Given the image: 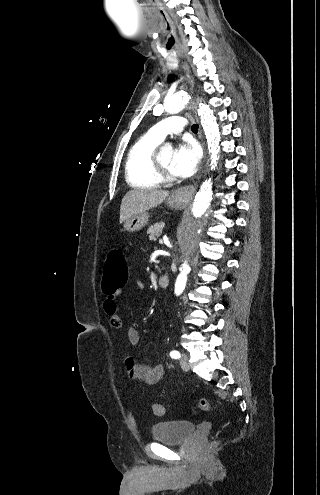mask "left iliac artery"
I'll return each mask as SVG.
<instances>
[{
	"instance_id": "44dca946",
	"label": "left iliac artery",
	"mask_w": 320,
	"mask_h": 495,
	"mask_svg": "<svg viewBox=\"0 0 320 495\" xmlns=\"http://www.w3.org/2000/svg\"><path fill=\"white\" fill-rule=\"evenodd\" d=\"M170 356H171V358H173V359H179V358H180V353H179V351H177V350H172V351L170 352Z\"/></svg>"
}]
</instances>
